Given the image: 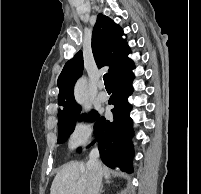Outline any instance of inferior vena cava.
I'll list each match as a JSON object with an SVG mask.
<instances>
[{
  "mask_svg": "<svg viewBox=\"0 0 201 194\" xmlns=\"http://www.w3.org/2000/svg\"><path fill=\"white\" fill-rule=\"evenodd\" d=\"M87 168L89 170V178L87 183L86 194H99L101 181H102V169L99 161V150L94 148L89 154V160L87 162Z\"/></svg>",
  "mask_w": 201,
  "mask_h": 194,
  "instance_id": "obj_1",
  "label": "inferior vena cava"
}]
</instances>
